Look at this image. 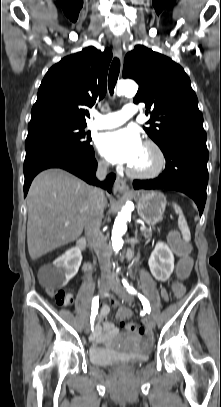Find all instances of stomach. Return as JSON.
<instances>
[{"label":"stomach","instance_id":"obj_1","mask_svg":"<svg viewBox=\"0 0 221 407\" xmlns=\"http://www.w3.org/2000/svg\"><path fill=\"white\" fill-rule=\"evenodd\" d=\"M165 207L166 197L161 192H142L138 197V214L140 218L149 225H154L162 219Z\"/></svg>","mask_w":221,"mask_h":407}]
</instances>
